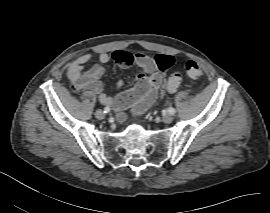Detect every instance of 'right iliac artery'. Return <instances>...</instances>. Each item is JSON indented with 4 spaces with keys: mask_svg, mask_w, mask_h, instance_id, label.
<instances>
[{
    "mask_svg": "<svg viewBox=\"0 0 270 213\" xmlns=\"http://www.w3.org/2000/svg\"><path fill=\"white\" fill-rule=\"evenodd\" d=\"M110 112V108L109 107H105L104 108V113H109Z\"/></svg>",
    "mask_w": 270,
    "mask_h": 213,
    "instance_id": "right-iliac-artery-1",
    "label": "right iliac artery"
}]
</instances>
